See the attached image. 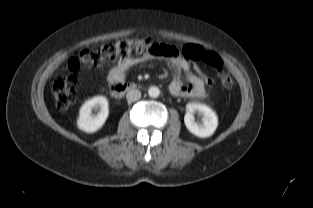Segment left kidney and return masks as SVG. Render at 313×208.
Masks as SVG:
<instances>
[{"label":"left kidney","mask_w":313,"mask_h":208,"mask_svg":"<svg viewBox=\"0 0 313 208\" xmlns=\"http://www.w3.org/2000/svg\"><path fill=\"white\" fill-rule=\"evenodd\" d=\"M195 112L203 116L202 123L195 122ZM184 122L192 134L201 138L212 136L218 126V118L212 108L197 102L187 104Z\"/></svg>","instance_id":"obj_1"}]
</instances>
